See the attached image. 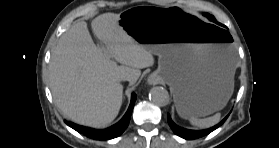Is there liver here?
Here are the masks:
<instances>
[{"instance_id":"liver-1","label":"liver","mask_w":279,"mask_h":148,"mask_svg":"<svg viewBox=\"0 0 279 148\" xmlns=\"http://www.w3.org/2000/svg\"><path fill=\"white\" fill-rule=\"evenodd\" d=\"M119 20L114 13L92 20L100 45L93 42L87 23L77 22L52 51L49 87L53 99L65 117L81 125L99 128L111 123L122 104L120 77L127 76L132 85L140 69L154 64L152 52L130 37Z\"/></svg>"}]
</instances>
